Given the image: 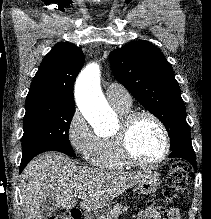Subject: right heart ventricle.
Listing matches in <instances>:
<instances>
[{"mask_svg": "<svg viewBox=\"0 0 211 219\" xmlns=\"http://www.w3.org/2000/svg\"><path fill=\"white\" fill-rule=\"evenodd\" d=\"M113 108L122 116H126L131 112V106ZM92 165L107 169H122L129 164L121 157L115 135L98 137L97 144L89 156Z\"/></svg>", "mask_w": 211, "mask_h": 219, "instance_id": "obj_1", "label": "right heart ventricle"}]
</instances>
